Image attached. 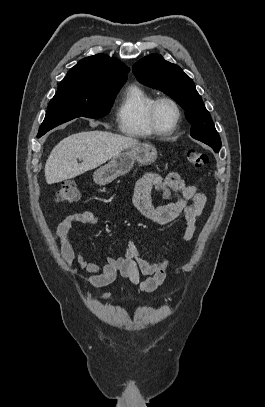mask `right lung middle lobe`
Masks as SVG:
<instances>
[{"instance_id": "right-lung-middle-lobe-1", "label": "right lung middle lobe", "mask_w": 265, "mask_h": 407, "mask_svg": "<svg viewBox=\"0 0 265 407\" xmlns=\"http://www.w3.org/2000/svg\"><path fill=\"white\" fill-rule=\"evenodd\" d=\"M124 84L103 81L62 80L51 99L38 135L77 117L99 118L109 113Z\"/></svg>"}]
</instances>
